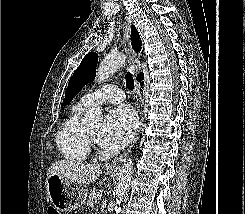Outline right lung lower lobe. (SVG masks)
Masks as SVG:
<instances>
[{
    "label": "right lung lower lobe",
    "instance_id": "98d812e1",
    "mask_svg": "<svg viewBox=\"0 0 245 214\" xmlns=\"http://www.w3.org/2000/svg\"><path fill=\"white\" fill-rule=\"evenodd\" d=\"M144 76L143 75H140L139 78H138V81L141 82L143 80ZM141 86H143V82H141Z\"/></svg>",
    "mask_w": 245,
    "mask_h": 214
}]
</instances>
